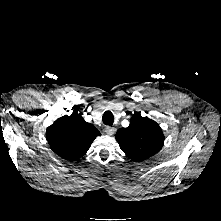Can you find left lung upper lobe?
<instances>
[{
    "label": "left lung upper lobe",
    "mask_w": 221,
    "mask_h": 221,
    "mask_svg": "<svg viewBox=\"0 0 221 221\" xmlns=\"http://www.w3.org/2000/svg\"><path fill=\"white\" fill-rule=\"evenodd\" d=\"M116 140L130 159L138 161L159 152L164 143V135L155 121L134 113L129 127L117 131Z\"/></svg>",
    "instance_id": "obj_1"
}]
</instances>
